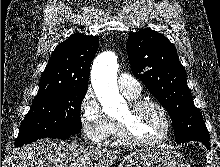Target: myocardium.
I'll list each match as a JSON object with an SVG mask.
<instances>
[{
    "label": "myocardium",
    "mask_w": 220,
    "mask_h": 167,
    "mask_svg": "<svg viewBox=\"0 0 220 167\" xmlns=\"http://www.w3.org/2000/svg\"><path fill=\"white\" fill-rule=\"evenodd\" d=\"M128 106L132 112H135L145 106L155 107L161 112V114L164 117L165 130L163 134L158 138L152 140H140L134 138L131 135L128 125L125 122L116 119V128H117L116 137L119 142L131 147H155L161 145L170 137L173 129V123L168 110L165 108L163 104L152 99H134L129 102Z\"/></svg>",
    "instance_id": "obj_1"
}]
</instances>
